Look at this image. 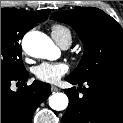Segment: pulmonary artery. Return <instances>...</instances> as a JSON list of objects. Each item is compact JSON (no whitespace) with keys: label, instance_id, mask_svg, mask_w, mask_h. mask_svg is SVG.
Segmentation results:
<instances>
[{"label":"pulmonary artery","instance_id":"pulmonary-artery-1","mask_svg":"<svg viewBox=\"0 0 123 123\" xmlns=\"http://www.w3.org/2000/svg\"><path fill=\"white\" fill-rule=\"evenodd\" d=\"M54 38V37H53ZM63 49H67L70 44H71V40L68 38H64L61 40L56 41Z\"/></svg>","mask_w":123,"mask_h":123}]
</instances>
